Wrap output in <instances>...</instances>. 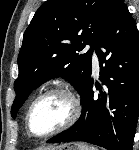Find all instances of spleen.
Returning <instances> with one entry per match:
<instances>
[{"mask_svg":"<svg viewBox=\"0 0 139 150\" xmlns=\"http://www.w3.org/2000/svg\"><path fill=\"white\" fill-rule=\"evenodd\" d=\"M90 150H97V149H96V148H94V147H91V148H90Z\"/></svg>","mask_w":139,"mask_h":150,"instance_id":"3e777b00","label":"spleen"}]
</instances>
